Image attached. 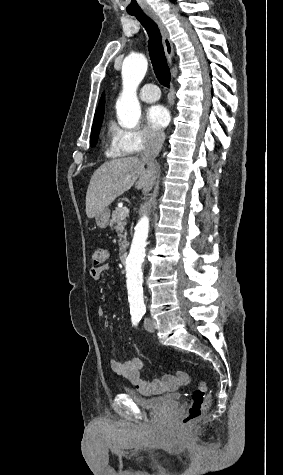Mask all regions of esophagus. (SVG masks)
I'll return each mask as SVG.
<instances>
[{
  "instance_id": "esophagus-1",
  "label": "esophagus",
  "mask_w": 283,
  "mask_h": 475,
  "mask_svg": "<svg viewBox=\"0 0 283 475\" xmlns=\"http://www.w3.org/2000/svg\"><path fill=\"white\" fill-rule=\"evenodd\" d=\"M145 13L152 19L154 20L155 23H157L159 30L162 35V41H163V47L165 51V55L170 63L172 65V59H173V45L170 40L168 31L163 24L162 20L159 18V16L152 10H146Z\"/></svg>"
}]
</instances>
